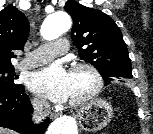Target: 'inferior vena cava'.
Instances as JSON below:
<instances>
[{
  "label": "inferior vena cava",
  "instance_id": "obj_1",
  "mask_svg": "<svg viewBox=\"0 0 153 134\" xmlns=\"http://www.w3.org/2000/svg\"><path fill=\"white\" fill-rule=\"evenodd\" d=\"M32 106V120L35 123H39L42 119H44L47 116L50 104L44 99H34L32 101Z\"/></svg>",
  "mask_w": 153,
  "mask_h": 134
}]
</instances>
